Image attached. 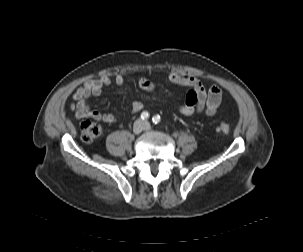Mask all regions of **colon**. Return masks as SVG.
<instances>
[{
	"mask_svg": "<svg viewBox=\"0 0 303 252\" xmlns=\"http://www.w3.org/2000/svg\"><path fill=\"white\" fill-rule=\"evenodd\" d=\"M218 131L222 135H228L230 132V126L226 122H220L218 125ZM102 133L101 126L97 123L86 121L82 124V138L86 142H92L97 139Z\"/></svg>",
	"mask_w": 303,
	"mask_h": 252,
	"instance_id": "obj_1",
	"label": "colon"
}]
</instances>
